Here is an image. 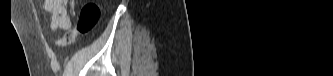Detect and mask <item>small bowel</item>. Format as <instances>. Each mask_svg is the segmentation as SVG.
Returning a JSON list of instances; mask_svg holds the SVG:
<instances>
[{"instance_id": "obj_1", "label": "small bowel", "mask_w": 333, "mask_h": 76, "mask_svg": "<svg viewBox=\"0 0 333 76\" xmlns=\"http://www.w3.org/2000/svg\"><path fill=\"white\" fill-rule=\"evenodd\" d=\"M44 8L51 18L52 31H68L72 21L68 13V0H46Z\"/></svg>"}]
</instances>
